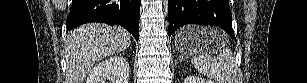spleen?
Returning <instances> with one entry per match:
<instances>
[{"label": "spleen", "mask_w": 307, "mask_h": 83, "mask_svg": "<svg viewBox=\"0 0 307 83\" xmlns=\"http://www.w3.org/2000/svg\"><path fill=\"white\" fill-rule=\"evenodd\" d=\"M208 34L212 38L227 39V35L219 29L211 28ZM195 69L214 83H238L237 64L232 51L222 47L217 57H211L199 50L191 55Z\"/></svg>", "instance_id": "obj_1"}]
</instances>
